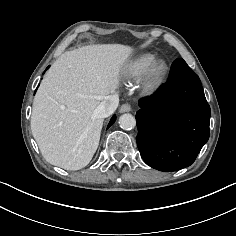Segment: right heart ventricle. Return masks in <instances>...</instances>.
Returning <instances> with one entry per match:
<instances>
[{
    "mask_svg": "<svg viewBox=\"0 0 236 236\" xmlns=\"http://www.w3.org/2000/svg\"><path fill=\"white\" fill-rule=\"evenodd\" d=\"M157 60L152 53H142L130 61L124 69V77L129 81L140 79Z\"/></svg>",
    "mask_w": 236,
    "mask_h": 236,
    "instance_id": "1",
    "label": "right heart ventricle"
}]
</instances>
